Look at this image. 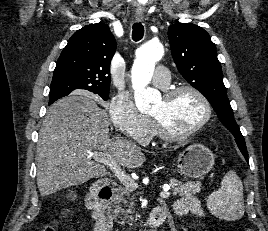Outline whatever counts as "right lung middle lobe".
<instances>
[{
    "label": "right lung middle lobe",
    "mask_w": 268,
    "mask_h": 231,
    "mask_svg": "<svg viewBox=\"0 0 268 231\" xmlns=\"http://www.w3.org/2000/svg\"><path fill=\"white\" fill-rule=\"evenodd\" d=\"M66 93H67V90H65L63 88H50V97L59 96V95H66ZM95 94H98L104 100H107L108 97H109V91L98 92V93H95Z\"/></svg>",
    "instance_id": "1"
}]
</instances>
